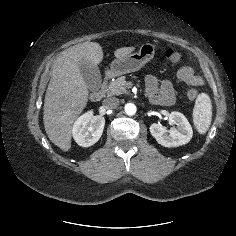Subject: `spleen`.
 I'll use <instances>...</instances> for the list:
<instances>
[{"mask_svg": "<svg viewBox=\"0 0 236 236\" xmlns=\"http://www.w3.org/2000/svg\"><path fill=\"white\" fill-rule=\"evenodd\" d=\"M212 119V104L210 97L201 93L198 95L193 109V122L200 134H205Z\"/></svg>", "mask_w": 236, "mask_h": 236, "instance_id": "3e777b00", "label": "spleen"}]
</instances>
